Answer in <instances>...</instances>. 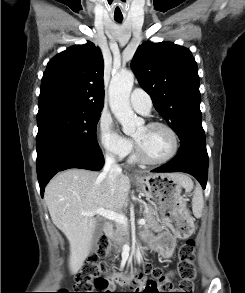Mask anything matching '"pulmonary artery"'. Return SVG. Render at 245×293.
Returning a JSON list of instances; mask_svg holds the SVG:
<instances>
[{"mask_svg":"<svg viewBox=\"0 0 245 293\" xmlns=\"http://www.w3.org/2000/svg\"><path fill=\"white\" fill-rule=\"evenodd\" d=\"M130 104L136 112L148 115L152 107V100L145 90L136 88L131 93Z\"/></svg>","mask_w":245,"mask_h":293,"instance_id":"e3ab8cb5","label":"pulmonary artery"}]
</instances>
